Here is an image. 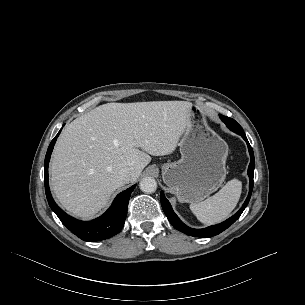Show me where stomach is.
Returning a JSON list of instances; mask_svg holds the SVG:
<instances>
[{"label":"stomach","instance_id":"obj_1","mask_svg":"<svg viewBox=\"0 0 305 305\" xmlns=\"http://www.w3.org/2000/svg\"><path fill=\"white\" fill-rule=\"evenodd\" d=\"M181 159L162 165V178L179 202L197 203L222 186L226 178L227 143L192 105L179 143Z\"/></svg>","mask_w":305,"mask_h":305}]
</instances>
